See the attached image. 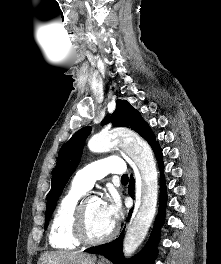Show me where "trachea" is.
<instances>
[{"label":"trachea","instance_id":"3493384b","mask_svg":"<svg viewBox=\"0 0 221 264\" xmlns=\"http://www.w3.org/2000/svg\"><path fill=\"white\" fill-rule=\"evenodd\" d=\"M121 180H122V181H128V175H127V174H124V175L121 177Z\"/></svg>","mask_w":221,"mask_h":264}]
</instances>
